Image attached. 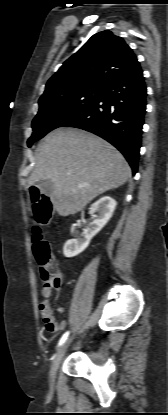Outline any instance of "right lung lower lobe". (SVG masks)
<instances>
[{
	"instance_id": "right-lung-lower-lobe-1",
	"label": "right lung lower lobe",
	"mask_w": 168,
	"mask_h": 415,
	"mask_svg": "<svg viewBox=\"0 0 168 415\" xmlns=\"http://www.w3.org/2000/svg\"><path fill=\"white\" fill-rule=\"evenodd\" d=\"M146 86L139 63L110 82L102 95L61 127L92 132L115 146L137 172Z\"/></svg>"
}]
</instances>
